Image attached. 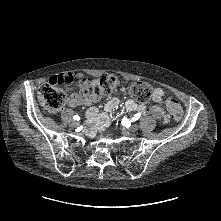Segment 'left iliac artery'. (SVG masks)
Segmentation results:
<instances>
[{
    "mask_svg": "<svg viewBox=\"0 0 221 221\" xmlns=\"http://www.w3.org/2000/svg\"><path fill=\"white\" fill-rule=\"evenodd\" d=\"M141 117V114L140 113H138V114H136L134 117H133V121H136V120H138L139 118ZM121 123L124 125V126H126V127H128L129 125H130V121L127 119V118H124L122 121H121Z\"/></svg>",
    "mask_w": 221,
    "mask_h": 221,
    "instance_id": "left-iliac-artery-1",
    "label": "left iliac artery"
}]
</instances>
